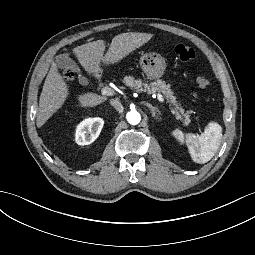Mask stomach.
Listing matches in <instances>:
<instances>
[{"instance_id":"1","label":"stomach","mask_w":255,"mask_h":255,"mask_svg":"<svg viewBox=\"0 0 255 255\" xmlns=\"http://www.w3.org/2000/svg\"><path fill=\"white\" fill-rule=\"evenodd\" d=\"M149 58H153V61L151 62ZM144 61H147V63H144ZM141 68L148 78L158 79L164 74L166 64L161 56L146 54L141 58Z\"/></svg>"}]
</instances>
